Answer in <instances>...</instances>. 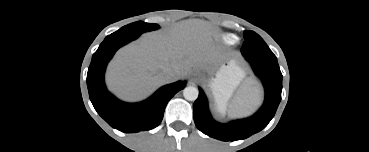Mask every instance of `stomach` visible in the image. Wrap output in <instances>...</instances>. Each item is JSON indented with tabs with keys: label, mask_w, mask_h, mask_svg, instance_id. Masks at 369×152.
I'll return each mask as SVG.
<instances>
[{
	"label": "stomach",
	"mask_w": 369,
	"mask_h": 152,
	"mask_svg": "<svg viewBox=\"0 0 369 152\" xmlns=\"http://www.w3.org/2000/svg\"><path fill=\"white\" fill-rule=\"evenodd\" d=\"M243 76V70L234 61H231L228 65L222 66L216 77L210 82L217 110L221 114L225 112L232 91Z\"/></svg>",
	"instance_id": "obj_1"
}]
</instances>
